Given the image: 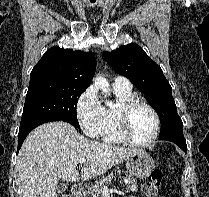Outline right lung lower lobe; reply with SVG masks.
Segmentation results:
<instances>
[{"label": "right lung lower lobe", "instance_id": "right-lung-lower-lobe-1", "mask_svg": "<svg viewBox=\"0 0 209 197\" xmlns=\"http://www.w3.org/2000/svg\"><path fill=\"white\" fill-rule=\"evenodd\" d=\"M51 121H59V120H47V121H42V122H38V123H34V124H30L26 127L20 128L19 129V134H18V150L17 152H19V149L22 146V143L24 141V139L26 138V136L37 126L46 123V122H51Z\"/></svg>", "mask_w": 209, "mask_h": 197}]
</instances>
